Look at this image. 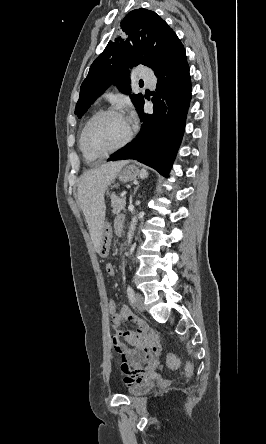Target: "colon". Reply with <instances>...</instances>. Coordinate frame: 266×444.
Returning a JSON list of instances; mask_svg holds the SVG:
<instances>
[{
  "mask_svg": "<svg viewBox=\"0 0 266 444\" xmlns=\"http://www.w3.org/2000/svg\"><path fill=\"white\" fill-rule=\"evenodd\" d=\"M107 310L112 317L118 312L116 302L113 299L108 300ZM165 361H166V364L169 368L177 367V366H179V363H180L179 359L173 354L168 355L166 357ZM185 370H186V375L188 377H192L195 372V368H194L193 363L187 362Z\"/></svg>",
  "mask_w": 266,
  "mask_h": 444,
  "instance_id": "colon-1",
  "label": "colon"
}]
</instances>
